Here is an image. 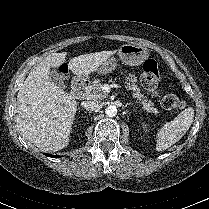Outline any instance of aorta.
I'll list each match as a JSON object with an SVG mask.
<instances>
[{"mask_svg":"<svg viewBox=\"0 0 209 209\" xmlns=\"http://www.w3.org/2000/svg\"><path fill=\"white\" fill-rule=\"evenodd\" d=\"M105 113L108 117H114L117 114V108L114 105H110L106 108Z\"/></svg>","mask_w":209,"mask_h":209,"instance_id":"1","label":"aorta"}]
</instances>
